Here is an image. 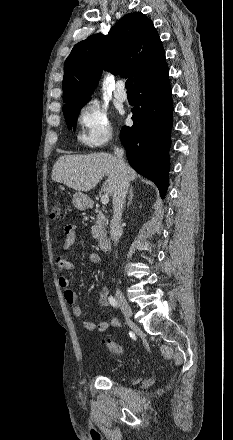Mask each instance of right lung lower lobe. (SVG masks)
Returning <instances> with one entry per match:
<instances>
[{
  "instance_id": "right-lung-lower-lobe-1",
  "label": "right lung lower lobe",
  "mask_w": 233,
  "mask_h": 440,
  "mask_svg": "<svg viewBox=\"0 0 233 440\" xmlns=\"http://www.w3.org/2000/svg\"><path fill=\"white\" fill-rule=\"evenodd\" d=\"M134 88L133 126L122 128L120 140L131 167L152 180L163 198L168 188L173 111L168 66Z\"/></svg>"
}]
</instances>
